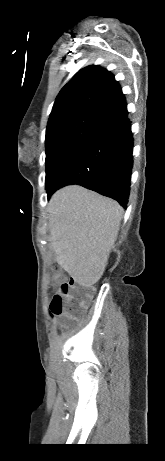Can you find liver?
<instances>
[{"mask_svg":"<svg viewBox=\"0 0 165 461\" xmlns=\"http://www.w3.org/2000/svg\"><path fill=\"white\" fill-rule=\"evenodd\" d=\"M49 242L55 260L80 285L102 277L117 240L123 208L78 185L53 194L48 205Z\"/></svg>","mask_w":165,"mask_h":461,"instance_id":"6515ba94","label":"liver"}]
</instances>
